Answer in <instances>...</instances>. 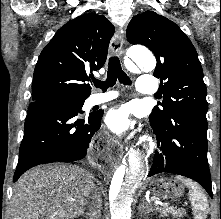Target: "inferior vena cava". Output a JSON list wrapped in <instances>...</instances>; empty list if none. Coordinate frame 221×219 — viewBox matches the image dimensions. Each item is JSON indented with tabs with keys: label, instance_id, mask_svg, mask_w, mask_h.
Wrapping results in <instances>:
<instances>
[{
	"label": "inferior vena cava",
	"instance_id": "inferior-vena-cava-1",
	"mask_svg": "<svg viewBox=\"0 0 221 219\" xmlns=\"http://www.w3.org/2000/svg\"><path fill=\"white\" fill-rule=\"evenodd\" d=\"M96 183L97 186L88 200L89 219L101 218L102 199H101V194L98 190L99 182L97 181Z\"/></svg>",
	"mask_w": 221,
	"mask_h": 219
}]
</instances>
